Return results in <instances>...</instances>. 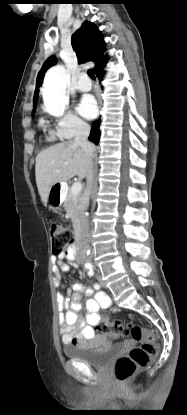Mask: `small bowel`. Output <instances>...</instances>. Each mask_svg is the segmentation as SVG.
Listing matches in <instances>:
<instances>
[{"label": "small bowel", "mask_w": 187, "mask_h": 415, "mask_svg": "<svg viewBox=\"0 0 187 415\" xmlns=\"http://www.w3.org/2000/svg\"><path fill=\"white\" fill-rule=\"evenodd\" d=\"M67 254L53 258L55 283H60V272H68L70 267L65 262ZM81 294L90 298L86 301V319L79 315L81 310ZM68 296L57 295L59 310V325L62 342L65 345H79L90 350L100 351L109 344V338L94 331L96 324L101 320L100 309L110 305V298L96 288L86 287L81 283H74L68 290Z\"/></svg>", "instance_id": "c3829d8e"}]
</instances>
